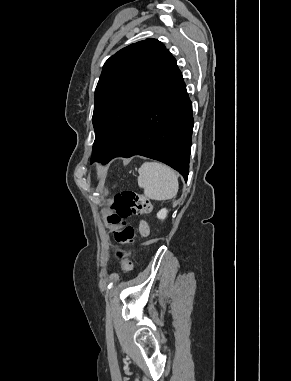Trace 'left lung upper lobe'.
<instances>
[{"mask_svg":"<svg viewBox=\"0 0 291 381\" xmlns=\"http://www.w3.org/2000/svg\"><path fill=\"white\" fill-rule=\"evenodd\" d=\"M180 70L156 39L131 44L104 64L95 90L91 162H102L124 138L150 99Z\"/></svg>","mask_w":291,"mask_h":381,"instance_id":"1","label":"left lung upper lobe"}]
</instances>
